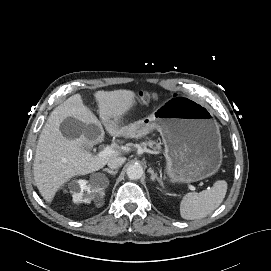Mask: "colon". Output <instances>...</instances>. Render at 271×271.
Masks as SVG:
<instances>
[{
	"label": "colon",
	"mask_w": 271,
	"mask_h": 271,
	"mask_svg": "<svg viewBox=\"0 0 271 271\" xmlns=\"http://www.w3.org/2000/svg\"><path fill=\"white\" fill-rule=\"evenodd\" d=\"M155 97V95H153V94H150V93H142L141 95H140V100L142 101V102H147V101H149L150 99H153Z\"/></svg>",
	"instance_id": "obj_1"
}]
</instances>
